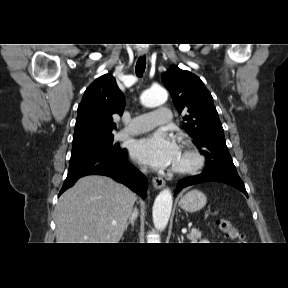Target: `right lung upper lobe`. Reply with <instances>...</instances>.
Returning a JSON list of instances; mask_svg holds the SVG:
<instances>
[{"mask_svg": "<svg viewBox=\"0 0 288 288\" xmlns=\"http://www.w3.org/2000/svg\"><path fill=\"white\" fill-rule=\"evenodd\" d=\"M124 107V97L115 78L110 74L97 78L78 106L73 146L113 135L116 124L112 115H122Z\"/></svg>", "mask_w": 288, "mask_h": 288, "instance_id": "right-lung-upper-lobe-1", "label": "right lung upper lobe"}]
</instances>
